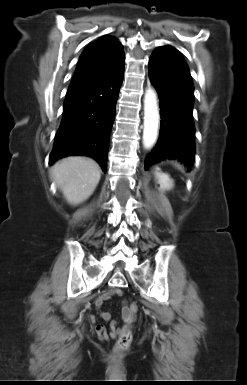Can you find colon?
Instances as JSON below:
<instances>
[{
	"label": "colon",
	"mask_w": 247,
	"mask_h": 385,
	"mask_svg": "<svg viewBox=\"0 0 247 385\" xmlns=\"http://www.w3.org/2000/svg\"><path fill=\"white\" fill-rule=\"evenodd\" d=\"M138 310H139V307L135 303H132L129 307H127L128 315L125 319V324L122 327L118 341L115 345L116 352L123 351L127 349L128 346L130 345L132 340V333L127 328V326L135 320Z\"/></svg>",
	"instance_id": "5ec220e1"
}]
</instances>
